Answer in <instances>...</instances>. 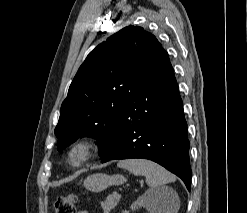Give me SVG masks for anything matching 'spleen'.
<instances>
[{
    "mask_svg": "<svg viewBox=\"0 0 247 213\" xmlns=\"http://www.w3.org/2000/svg\"><path fill=\"white\" fill-rule=\"evenodd\" d=\"M118 167L124 168L136 176L144 175L146 178V183L151 188V191H155L157 188L175 181V176L173 174L168 172L162 166L149 160H121L118 162ZM170 204V207H167L169 210L167 213H177L179 206L177 196L172 197Z\"/></svg>",
    "mask_w": 247,
    "mask_h": 213,
    "instance_id": "1",
    "label": "spleen"
}]
</instances>
